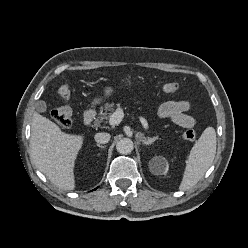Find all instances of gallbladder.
<instances>
[{"label": "gallbladder", "instance_id": "bac80fb5", "mask_svg": "<svg viewBox=\"0 0 248 248\" xmlns=\"http://www.w3.org/2000/svg\"><path fill=\"white\" fill-rule=\"evenodd\" d=\"M46 109H47V106H46V103L44 102V101H38L37 103H36V110L38 111V112H45L46 111Z\"/></svg>", "mask_w": 248, "mask_h": 248}]
</instances>
